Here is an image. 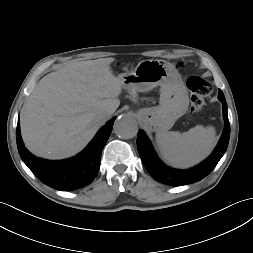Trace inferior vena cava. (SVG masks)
<instances>
[{
    "label": "inferior vena cava",
    "instance_id": "inferior-vena-cava-1",
    "mask_svg": "<svg viewBox=\"0 0 253 253\" xmlns=\"http://www.w3.org/2000/svg\"><path fill=\"white\" fill-rule=\"evenodd\" d=\"M111 114L109 112H98L96 115H95V121L102 125L104 124L109 118H110Z\"/></svg>",
    "mask_w": 253,
    "mask_h": 253
}]
</instances>
